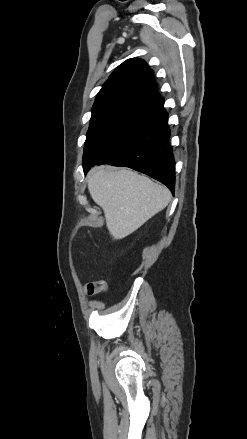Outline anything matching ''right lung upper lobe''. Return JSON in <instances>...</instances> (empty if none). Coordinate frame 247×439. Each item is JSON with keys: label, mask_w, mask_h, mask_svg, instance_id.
Listing matches in <instances>:
<instances>
[{"label": "right lung upper lobe", "mask_w": 247, "mask_h": 439, "mask_svg": "<svg viewBox=\"0 0 247 439\" xmlns=\"http://www.w3.org/2000/svg\"><path fill=\"white\" fill-rule=\"evenodd\" d=\"M112 103H123L136 109L156 114L163 109L153 71L145 61L133 58L119 65L97 94L93 108Z\"/></svg>", "instance_id": "1"}]
</instances>
